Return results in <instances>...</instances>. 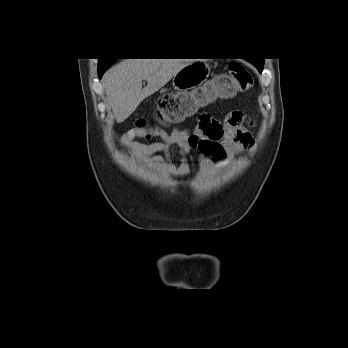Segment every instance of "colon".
<instances>
[{"mask_svg": "<svg viewBox=\"0 0 348 348\" xmlns=\"http://www.w3.org/2000/svg\"><path fill=\"white\" fill-rule=\"evenodd\" d=\"M253 83V76L243 65L231 63L227 73L219 75L207 88L222 98L247 92L252 88ZM194 108L188 95L164 94L158 99L155 119L160 126H167L182 121ZM215 122L218 123L217 120ZM145 127L146 122L143 119L136 121V129L142 130ZM155 130L160 132L161 127H155ZM144 136L149 138L151 135L146 133Z\"/></svg>", "mask_w": 348, "mask_h": 348, "instance_id": "colon-1", "label": "colon"}]
</instances>
